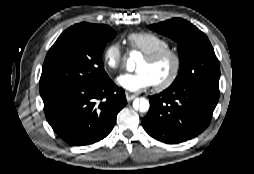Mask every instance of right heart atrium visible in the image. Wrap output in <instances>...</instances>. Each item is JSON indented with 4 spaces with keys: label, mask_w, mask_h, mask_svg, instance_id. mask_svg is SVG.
Instances as JSON below:
<instances>
[{
    "label": "right heart atrium",
    "mask_w": 254,
    "mask_h": 174,
    "mask_svg": "<svg viewBox=\"0 0 254 174\" xmlns=\"http://www.w3.org/2000/svg\"><path fill=\"white\" fill-rule=\"evenodd\" d=\"M103 63L109 70L119 69L125 62V56L118 42L108 44L102 55Z\"/></svg>",
    "instance_id": "1"
}]
</instances>
